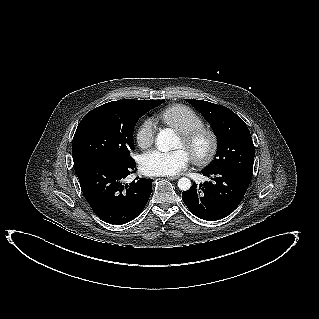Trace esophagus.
<instances>
[{
    "instance_id": "obj_1",
    "label": "esophagus",
    "mask_w": 319,
    "mask_h": 319,
    "mask_svg": "<svg viewBox=\"0 0 319 319\" xmlns=\"http://www.w3.org/2000/svg\"><path fill=\"white\" fill-rule=\"evenodd\" d=\"M178 178H179V176H168L167 177V179H169V180H176Z\"/></svg>"
}]
</instances>
